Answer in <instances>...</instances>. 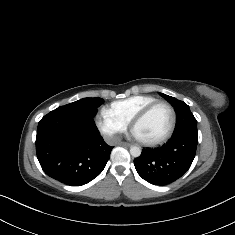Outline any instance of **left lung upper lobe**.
<instances>
[{
	"instance_id": "left-lung-upper-lobe-1",
	"label": "left lung upper lobe",
	"mask_w": 235,
	"mask_h": 235,
	"mask_svg": "<svg viewBox=\"0 0 235 235\" xmlns=\"http://www.w3.org/2000/svg\"><path fill=\"white\" fill-rule=\"evenodd\" d=\"M166 98L175 108L177 114V121L173 135L180 133H192L197 135V120L189 109V106L174 97L161 94Z\"/></svg>"
}]
</instances>
